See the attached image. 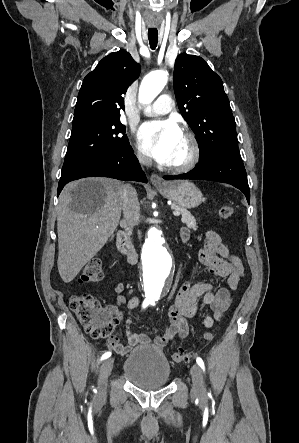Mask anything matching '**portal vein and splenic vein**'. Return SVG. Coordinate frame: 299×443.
Segmentation results:
<instances>
[{
  "label": "portal vein and splenic vein",
  "instance_id": "portal-vein-and-splenic-vein-1",
  "mask_svg": "<svg viewBox=\"0 0 299 443\" xmlns=\"http://www.w3.org/2000/svg\"><path fill=\"white\" fill-rule=\"evenodd\" d=\"M173 215L178 217V216H180V212L175 210V211H173Z\"/></svg>",
  "mask_w": 299,
  "mask_h": 443
}]
</instances>
